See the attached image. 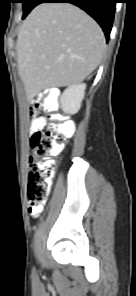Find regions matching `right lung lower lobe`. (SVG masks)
<instances>
[{
    "mask_svg": "<svg viewBox=\"0 0 136 296\" xmlns=\"http://www.w3.org/2000/svg\"><path fill=\"white\" fill-rule=\"evenodd\" d=\"M117 2L118 0H39L38 3H71L80 7L98 22L108 41Z\"/></svg>",
    "mask_w": 136,
    "mask_h": 296,
    "instance_id": "obj_1",
    "label": "right lung lower lobe"
}]
</instances>
